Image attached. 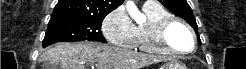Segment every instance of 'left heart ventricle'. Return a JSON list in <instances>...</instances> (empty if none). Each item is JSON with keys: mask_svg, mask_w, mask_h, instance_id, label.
Returning <instances> with one entry per match:
<instances>
[{"mask_svg": "<svg viewBox=\"0 0 246 69\" xmlns=\"http://www.w3.org/2000/svg\"><path fill=\"white\" fill-rule=\"evenodd\" d=\"M166 41L176 49H183L186 44L191 42V37L182 25L176 23L168 29Z\"/></svg>", "mask_w": 246, "mask_h": 69, "instance_id": "1", "label": "left heart ventricle"}]
</instances>
